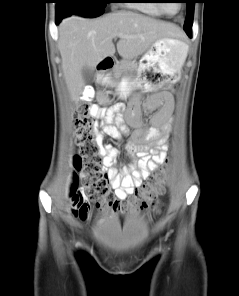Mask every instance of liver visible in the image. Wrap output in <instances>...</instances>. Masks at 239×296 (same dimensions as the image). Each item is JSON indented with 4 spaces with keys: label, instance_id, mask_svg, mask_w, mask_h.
<instances>
[{
    "label": "liver",
    "instance_id": "obj_1",
    "mask_svg": "<svg viewBox=\"0 0 239 296\" xmlns=\"http://www.w3.org/2000/svg\"><path fill=\"white\" fill-rule=\"evenodd\" d=\"M119 33L117 51L125 60L137 58L159 38L181 37V29L131 11L110 13L99 19L71 16L58 28V49L67 89L72 98L79 96L86 84L82 70L93 69L115 54L113 34Z\"/></svg>",
    "mask_w": 239,
    "mask_h": 296
}]
</instances>
